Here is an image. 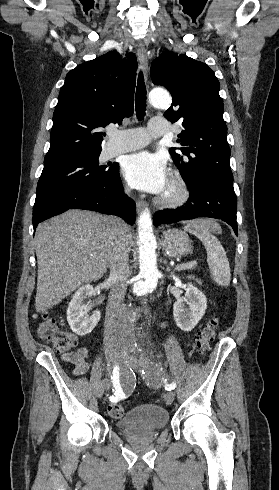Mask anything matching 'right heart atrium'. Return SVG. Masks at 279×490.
<instances>
[{
    "instance_id": "obj_1",
    "label": "right heart atrium",
    "mask_w": 279,
    "mask_h": 490,
    "mask_svg": "<svg viewBox=\"0 0 279 490\" xmlns=\"http://www.w3.org/2000/svg\"><path fill=\"white\" fill-rule=\"evenodd\" d=\"M122 190H123V192H124V193H128V192H129V189H128L126 186H124V187L122 188Z\"/></svg>"
}]
</instances>
